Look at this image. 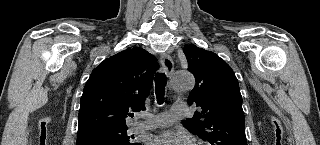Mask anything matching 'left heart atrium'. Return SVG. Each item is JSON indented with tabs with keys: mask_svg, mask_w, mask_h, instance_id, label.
<instances>
[{
	"mask_svg": "<svg viewBox=\"0 0 320 145\" xmlns=\"http://www.w3.org/2000/svg\"><path fill=\"white\" fill-rule=\"evenodd\" d=\"M153 145H189L187 135L181 132H164L151 139Z\"/></svg>",
	"mask_w": 320,
	"mask_h": 145,
	"instance_id": "left-heart-atrium-1",
	"label": "left heart atrium"
}]
</instances>
